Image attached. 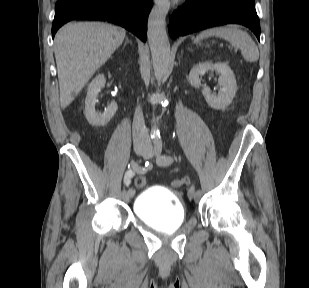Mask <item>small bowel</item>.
Masks as SVG:
<instances>
[{
  "mask_svg": "<svg viewBox=\"0 0 309 288\" xmlns=\"http://www.w3.org/2000/svg\"><path fill=\"white\" fill-rule=\"evenodd\" d=\"M133 175H134L133 171H131V170L127 171V173H126V175H125V183H126V184H129V183H130V181H131Z\"/></svg>",
  "mask_w": 309,
  "mask_h": 288,
  "instance_id": "1",
  "label": "small bowel"
}]
</instances>
